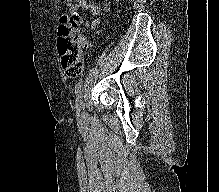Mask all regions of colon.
I'll list each match as a JSON object with an SVG mask.
<instances>
[{
  "label": "colon",
  "instance_id": "5ec220e1",
  "mask_svg": "<svg viewBox=\"0 0 219 192\" xmlns=\"http://www.w3.org/2000/svg\"><path fill=\"white\" fill-rule=\"evenodd\" d=\"M81 18L77 13L61 18L57 30V48L65 74L77 77L84 66L81 51Z\"/></svg>",
  "mask_w": 219,
  "mask_h": 192
}]
</instances>
